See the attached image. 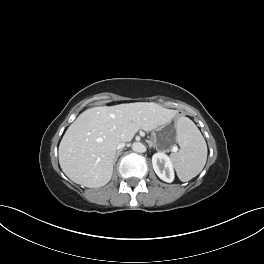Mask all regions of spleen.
I'll list each match as a JSON object with an SVG mask.
<instances>
[{"label": "spleen", "mask_w": 264, "mask_h": 264, "mask_svg": "<svg viewBox=\"0 0 264 264\" xmlns=\"http://www.w3.org/2000/svg\"><path fill=\"white\" fill-rule=\"evenodd\" d=\"M176 141L180 150L171 154V160L178 178L186 182L197 176L205 166L207 145L200 130L188 117L177 120Z\"/></svg>", "instance_id": "3e777b00"}]
</instances>
